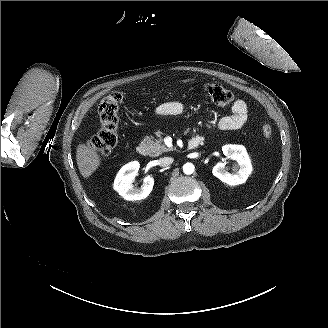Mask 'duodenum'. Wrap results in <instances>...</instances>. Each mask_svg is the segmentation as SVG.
I'll list each match as a JSON object with an SVG mask.
<instances>
[{"instance_id":"410a0bca","label":"duodenum","mask_w":328,"mask_h":328,"mask_svg":"<svg viewBox=\"0 0 328 328\" xmlns=\"http://www.w3.org/2000/svg\"><path fill=\"white\" fill-rule=\"evenodd\" d=\"M204 141L202 136H195L188 142V149L194 150L198 148ZM136 152L141 156H146L148 154V147L146 144L141 143L136 147Z\"/></svg>"}]
</instances>
